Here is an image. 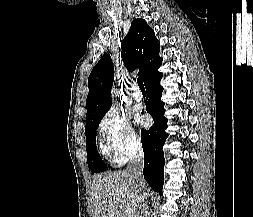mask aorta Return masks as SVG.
I'll list each match as a JSON object with an SVG mask.
<instances>
[{
  "mask_svg": "<svg viewBox=\"0 0 253 217\" xmlns=\"http://www.w3.org/2000/svg\"><path fill=\"white\" fill-rule=\"evenodd\" d=\"M116 95V91L115 90H113V96H115Z\"/></svg>",
  "mask_w": 253,
  "mask_h": 217,
  "instance_id": "obj_1",
  "label": "aorta"
}]
</instances>
